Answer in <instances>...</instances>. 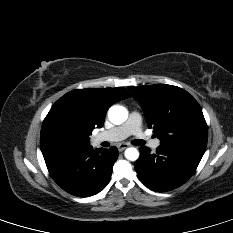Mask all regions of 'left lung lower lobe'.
I'll use <instances>...</instances> for the list:
<instances>
[{"instance_id": "1", "label": "left lung lower lobe", "mask_w": 233, "mask_h": 233, "mask_svg": "<svg viewBox=\"0 0 233 233\" xmlns=\"http://www.w3.org/2000/svg\"><path fill=\"white\" fill-rule=\"evenodd\" d=\"M205 149L193 145H160L154 154L143 146L134 167L138 178L147 187L158 192L170 191L194 174Z\"/></svg>"}]
</instances>
